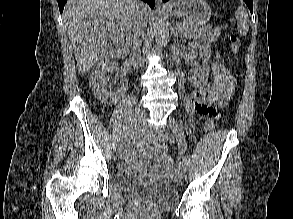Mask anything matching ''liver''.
Masks as SVG:
<instances>
[{
    "instance_id": "liver-1",
    "label": "liver",
    "mask_w": 293,
    "mask_h": 219,
    "mask_svg": "<svg viewBox=\"0 0 293 219\" xmlns=\"http://www.w3.org/2000/svg\"><path fill=\"white\" fill-rule=\"evenodd\" d=\"M137 13L144 21L151 15L149 7H140L136 0H68L63 22L80 75L100 60L129 54Z\"/></svg>"
}]
</instances>
